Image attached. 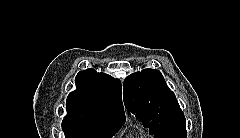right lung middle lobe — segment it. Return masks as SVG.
<instances>
[{"instance_id":"dd1d6c3e","label":"right lung middle lobe","mask_w":240,"mask_h":138,"mask_svg":"<svg viewBox=\"0 0 240 138\" xmlns=\"http://www.w3.org/2000/svg\"><path fill=\"white\" fill-rule=\"evenodd\" d=\"M121 126H107L82 121L63 120L62 122L66 138H111Z\"/></svg>"}]
</instances>
